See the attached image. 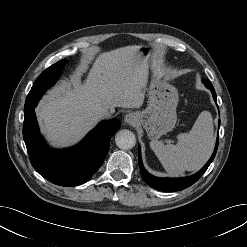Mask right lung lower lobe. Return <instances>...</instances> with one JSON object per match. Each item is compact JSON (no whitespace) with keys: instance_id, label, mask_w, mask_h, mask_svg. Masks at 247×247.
Returning a JSON list of instances; mask_svg holds the SVG:
<instances>
[{"instance_id":"obj_1","label":"right lung lower lobe","mask_w":247,"mask_h":247,"mask_svg":"<svg viewBox=\"0 0 247 247\" xmlns=\"http://www.w3.org/2000/svg\"><path fill=\"white\" fill-rule=\"evenodd\" d=\"M41 96L28 95L24 107L23 137L31 164L54 184L69 187L83 184L102 165L120 122L117 119L102 121L77 146L54 150L48 148L38 129L34 108Z\"/></svg>"}]
</instances>
